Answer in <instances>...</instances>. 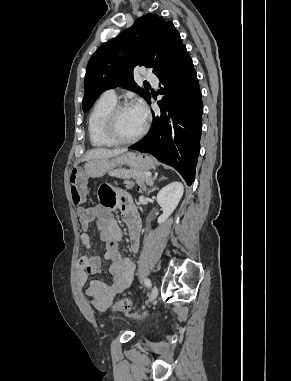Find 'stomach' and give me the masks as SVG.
<instances>
[{
  "instance_id": "obj_1",
  "label": "stomach",
  "mask_w": 291,
  "mask_h": 381,
  "mask_svg": "<svg viewBox=\"0 0 291 381\" xmlns=\"http://www.w3.org/2000/svg\"><path fill=\"white\" fill-rule=\"evenodd\" d=\"M122 165H127L131 169L143 172L154 168L153 159L148 155L127 152L114 158L89 160L84 166V174L88 177L98 178L113 168Z\"/></svg>"
}]
</instances>
